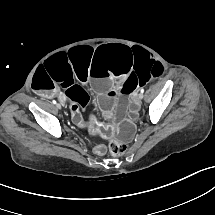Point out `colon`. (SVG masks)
<instances>
[{"label": "colon", "instance_id": "obj_1", "mask_svg": "<svg viewBox=\"0 0 215 215\" xmlns=\"http://www.w3.org/2000/svg\"><path fill=\"white\" fill-rule=\"evenodd\" d=\"M77 99L88 102V98L85 96L83 92H77ZM126 145L122 142L113 141L109 144V152L112 155H121L125 152Z\"/></svg>", "mask_w": 215, "mask_h": 215}]
</instances>
